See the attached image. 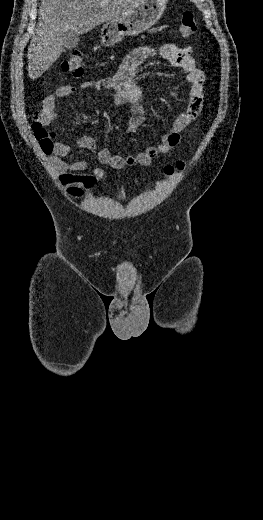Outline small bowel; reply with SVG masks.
<instances>
[{
	"mask_svg": "<svg viewBox=\"0 0 263 520\" xmlns=\"http://www.w3.org/2000/svg\"><path fill=\"white\" fill-rule=\"evenodd\" d=\"M159 55L166 59L172 66L182 69L186 73L189 83V98L185 110L172 122L170 128L164 133L160 142L148 147L145 151L136 155H113L108 149H97L95 140L82 135L79 138L80 145L92 152L101 165H108L114 169L126 166H149L158 154H165L176 147L180 142L181 132L194 122L203 109L205 75L192 56L190 47H179L172 43H165L154 48L151 46H139L132 50L124 59L117 72L108 78L99 80H86L80 83L79 88L106 90L111 92L118 100L128 102L132 107V118L129 130L135 131L144 119L143 109L140 105L142 88L135 82L134 77L138 68L150 57ZM73 85L60 86L54 94L44 98L42 110L38 121L42 125H48L58 115L55 111L59 98L68 97L77 92ZM71 148L61 142L53 146L49 164L57 173L60 183L67 188L70 195L80 197L84 189L94 187L104 177V170L96 167L91 172H85L87 164L83 160L67 162Z\"/></svg>",
	"mask_w": 263,
	"mask_h": 520,
	"instance_id": "obj_1",
	"label": "small bowel"
}]
</instances>
